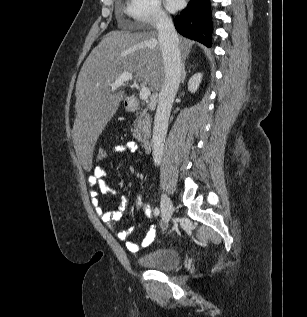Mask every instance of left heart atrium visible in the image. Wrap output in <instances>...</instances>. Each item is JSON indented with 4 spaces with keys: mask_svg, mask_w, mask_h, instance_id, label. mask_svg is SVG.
<instances>
[{
    "mask_svg": "<svg viewBox=\"0 0 307 317\" xmlns=\"http://www.w3.org/2000/svg\"><path fill=\"white\" fill-rule=\"evenodd\" d=\"M183 4V0H165V5L168 10L175 11Z\"/></svg>",
    "mask_w": 307,
    "mask_h": 317,
    "instance_id": "1",
    "label": "left heart atrium"
}]
</instances>
